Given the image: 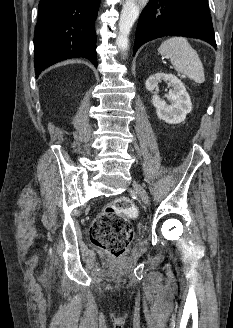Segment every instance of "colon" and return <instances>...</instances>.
Returning <instances> with one entry per match:
<instances>
[{"label":"colon","instance_id":"colon-1","mask_svg":"<svg viewBox=\"0 0 233 328\" xmlns=\"http://www.w3.org/2000/svg\"><path fill=\"white\" fill-rule=\"evenodd\" d=\"M137 213L135 204L129 198L114 200L92 223V243L112 257H121L133 236L129 219L136 217Z\"/></svg>","mask_w":233,"mask_h":328}]
</instances>
